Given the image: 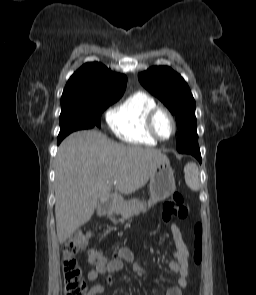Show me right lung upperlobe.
Wrapping results in <instances>:
<instances>
[{
  "mask_svg": "<svg viewBox=\"0 0 256 295\" xmlns=\"http://www.w3.org/2000/svg\"><path fill=\"white\" fill-rule=\"evenodd\" d=\"M126 83L125 75L115 74L98 62L86 63L68 80L61 106L123 95Z\"/></svg>",
  "mask_w": 256,
  "mask_h": 295,
  "instance_id": "right-lung-upper-lobe-1",
  "label": "right lung upper lobe"
}]
</instances>
